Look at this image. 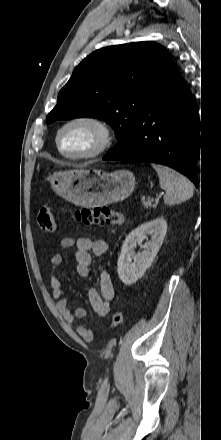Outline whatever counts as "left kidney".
<instances>
[{"mask_svg": "<svg viewBox=\"0 0 221 440\" xmlns=\"http://www.w3.org/2000/svg\"><path fill=\"white\" fill-rule=\"evenodd\" d=\"M166 231V220L157 218L141 224L127 235L117 263L119 278L125 285L135 283L151 266L163 243ZM147 235L151 236V240L141 245ZM137 244L141 245L142 252L135 253Z\"/></svg>", "mask_w": 221, "mask_h": 440, "instance_id": "obj_1", "label": "left kidney"}]
</instances>
